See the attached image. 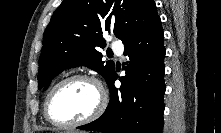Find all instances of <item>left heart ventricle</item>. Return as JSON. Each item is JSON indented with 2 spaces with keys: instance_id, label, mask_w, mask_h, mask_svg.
Here are the masks:
<instances>
[{
  "instance_id": "1",
  "label": "left heart ventricle",
  "mask_w": 221,
  "mask_h": 133,
  "mask_svg": "<svg viewBox=\"0 0 221 133\" xmlns=\"http://www.w3.org/2000/svg\"><path fill=\"white\" fill-rule=\"evenodd\" d=\"M96 87L84 80H75L60 86L50 98L49 113L61 123L73 122L88 116L98 103Z\"/></svg>"
}]
</instances>
